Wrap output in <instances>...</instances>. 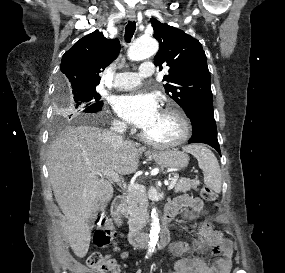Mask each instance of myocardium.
Masks as SVG:
<instances>
[{
	"label": "myocardium",
	"mask_w": 285,
	"mask_h": 273,
	"mask_svg": "<svg viewBox=\"0 0 285 273\" xmlns=\"http://www.w3.org/2000/svg\"><path fill=\"white\" fill-rule=\"evenodd\" d=\"M161 112L164 114L172 115L177 119L180 126V134L175 139L169 141H156L148 137L144 132H141V139L147 144L163 148L176 147L185 143L191 136L192 132L191 122L185 112L175 105L167 106L162 109Z\"/></svg>",
	"instance_id": "f54148a6"
}]
</instances>
